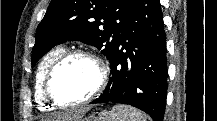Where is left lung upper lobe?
<instances>
[{
  "label": "left lung upper lobe",
  "instance_id": "left-lung-upper-lobe-1",
  "mask_svg": "<svg viewBox=\"0 0 217 121\" xmlns=\"http://www.w3.org/2000/svg\"><path fill=\"white\" fill-rule=\"evenodd\" d=\"M137 0H51L37 27L32 67L66 40L95 45L110 59Z\"/></svg>",
  "mask_w": 217,
  "mask_h": 121
}]
</instances>
